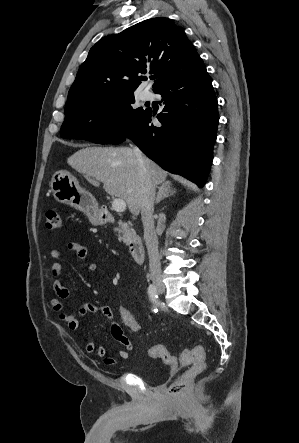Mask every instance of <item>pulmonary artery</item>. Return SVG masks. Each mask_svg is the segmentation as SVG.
I'll use <instances>...</instances> for the list:
<instances>
[{"instance_id":"pulmonary-artery-1","label":"pulmonary artery","mask_w":299,"mask_h":443,"mask_svg":"<svg viewBox=\"0 0 299 443\" xmlns=\"http://www.w3.org/2000/svg\"><path fill=\"white\" fill-rule=\"evenodd\" d=\"M150 97H151V95H150L149 92H144L143 95H142V99L143 100H149Z\"/></svg>"}]
</instances>
